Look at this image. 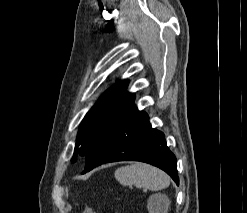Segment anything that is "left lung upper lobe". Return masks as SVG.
Returning <instances> with one entry per match:
<instances>
[{"label":"left lung upper lobe","instance_id":"left-lung-upper-lobe-1","mask_svg":"<svg viewBox=\"0 0 247 213\" xmlns=\"http://www.w3.org/2000/svg\"><path fill=\"white\" fill-rule=\"evenodd\" d=\"M128 82H118L112 87L83 119L76 141L74 156L86 157L93 143L107 131L134 103V95L125 93Z\"/></svg>","mask_w":247,"mask_h":213}]
</instances>
